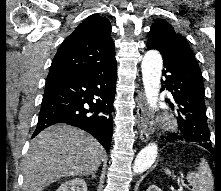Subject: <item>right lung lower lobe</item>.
Returning <instances> with one entry per match:
<instances>
[{
  "mask_svg": "<svg viewBox=\"0 0 221 191\" xmlns=\"http://www.w3.org/2000/svg\"><path fill=\"white\" fill-rule=\"evenodd\" d=\"M116 77L115 65L95 73L46 81L32 138L53 124L66 123L87 131L109 151Z\"/></svg>",
  "mask_w": 221,
  "mask_h": 191,
  "instance_id": "98d812e1",
  "label": "right lung lower lobe"
}]
</instances>
